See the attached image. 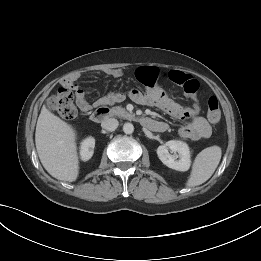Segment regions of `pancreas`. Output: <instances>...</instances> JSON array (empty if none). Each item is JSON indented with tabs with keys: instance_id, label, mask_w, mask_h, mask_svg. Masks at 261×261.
Returning <instances> with one entry per match:
<instances>
[{
	"instance_id": "pancreas-1",
	"label": "pancreas",
	"mask_w": 261,
	"mask_h": 261,
	"mask_svg": "<svg viewBox=\"0 0 261 261\" xmlns=\"http://www.w3.org/2000/svg\"><path fill=\"white\" fill-rule=\"evenodd\" d=\"M114 114L119 116H125V117H132V114L128 113L124 108L122 107H116L113 110Z\"/></svg>"
}]
</instances>
